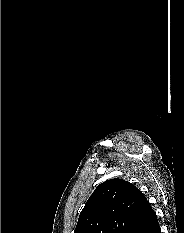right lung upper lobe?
I'll list each match as a JSON object with an SVG mask.
<instances>
[{"instance_id":"1","label":"right lung upper lobe","mask_w":184,"mask_h":233,"mask_svg":"<svg viewBox=\"0 0 184 233\" xmlns=\"http://www.w3.org/2000/svg\"><path fill=\"white\" fill-rule=\"evenodd\" d=\"M153 212L133 184L110 179L101 183L87 200L74 233H131Z\"/></svg>"}]
</instances>
